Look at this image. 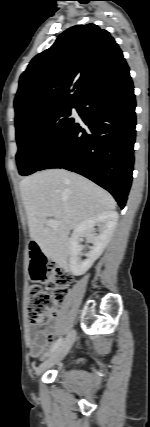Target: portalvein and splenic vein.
<instances>
[{"label": "portal vein and splenic vein", "instance_id": "obj_1", "mask_svg": "<svg viewBox=\"0 0 150 427\" xmlns=\"http://www.w3.org/2000/svg\"><path fill=\"white\" fill-rule=\"evenodd\" d=\"M59 223H60V222H58V221H56V220H53V219H50V220H48V221H47V225H48L49 227H57V226L59 225Z\"/></svg>", "mask_w": 150, "mask_h": 427}]
</instances>
